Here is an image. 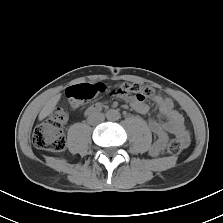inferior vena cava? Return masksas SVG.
<instances>
[{
    "label": "inferior vena cava",
    "instance_id": "inferior-vena-cava-1",
    "mask_svg": "<svg viewBox=\"0 0 223 223\" xmlns=\"http://www.w3.org/2000/svg\"><path fill=\"white\" fill-rule=\"evenodd\" d=\"M96 120L97 123L102 122L104 120V115L101 113H95L90 117V121Z\"/></svg>",
    "mask_w": 223,
    "mask_h": 223
}]
</instances>
